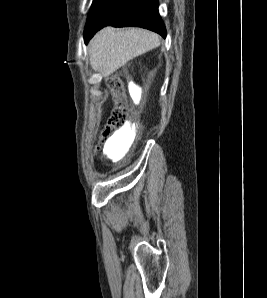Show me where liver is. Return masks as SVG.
Masks as SVG:
<instances>
[{"label": "liver", "mask_w": 267, "mask_h": 298, "mask_svg": "<svg viewBox=\"0 0 267 298\" xmlns=\"http://www.w3.org/2000/svg\"><path fill=\"white\" fill-rule=\"evenodd\" d=\"M159 46V36L140 28L117 30L105 27L89 44L92 69L108 77L128 61Z\"/></svg>", "instance_id": "liver-1"}]
</instances>
